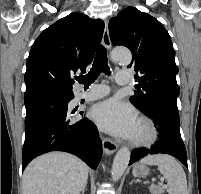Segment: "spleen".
Instances as JSON below:
<instances>
[{"label": "spleen", "mask_w": 201, "mask_h": 194, "mask_svg": "<svg viewBox=\"0 0 201 194\" xmlns=\"http://www.w3.org/2000/svg\"><path fill=\"white\" fill-rule=\"evenodd\" d=\"M140 162L158 166V170L167 181L170 194H188L185 172L175 158L166 154H158L147 156ZM133 175L137 176L135 168L133 169Z\"/></svg>", "instance_id": "3e777b00"}]
</instances>
